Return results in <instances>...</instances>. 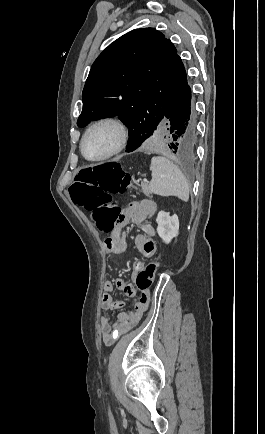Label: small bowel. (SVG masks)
Returning a JSON list of instances; mask_svg holds the SVG:
<instances>
[{
    "mask_svg": "<svg viewBox=\"0 0 265 434\" xmlns=\"http://www.w3.org/2000/svg\"><path fill=\"white\" fill-rule=\"evenodd\" d=\"M157 212V205L152 200L132 201L129 202L118 223L116 230L105 239L104 249L108 255H120L126 249V239L122 233V228L129 223H133L140 227L143 234L135 237V245L143 258L150 259L156 252V245L153 237L156 234L151 218ZM144 267L143 261L135 262L133 275L131 280H136V275L140 269ZM117 288L123 294L134 297L136 290L122 277H116L114 281L105 280L103 282V293L101 296V307L105 311H114L122 308L125 305L123 300L115 299L112 295L114 289ZM149 291H144L140 299L134 307L128 312H119L112 319L110 315H102L100 317V335L104 345H112L120 336L127 333L141 319L144 311L149 307Z\"/></svg>",
    "mask_w": 265,
    "mask_h": 434,
    "instance_id": "obj_1",
    "label": "small bowel"
}]
</instances>
